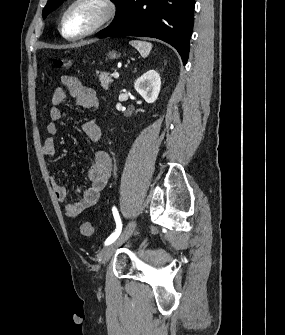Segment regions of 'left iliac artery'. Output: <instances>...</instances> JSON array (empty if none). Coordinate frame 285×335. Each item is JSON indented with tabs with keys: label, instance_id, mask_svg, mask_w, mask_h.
<instances>
[{
	"label": "left iliac artery",
	"instance_id": "1",
	"mask_svg": "<svg viewBox=\"0 0 285 335\" xmlns=\"http://www.w3.org/2000/svg\"><path fill=\"white\" fill-rule=\"evenodd\" d=\"M112 211H113L114 219L116 221V230L106 239L105 245H109L113 243L119 237L121 230H122V222H121L117 209L113 207Z\"/></svg>",
	"mask_w": 285,
	"mask_h": 335
}]
</instances>
